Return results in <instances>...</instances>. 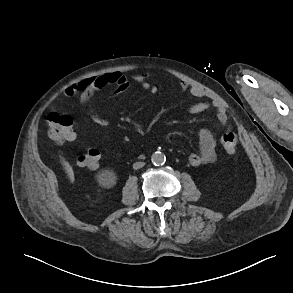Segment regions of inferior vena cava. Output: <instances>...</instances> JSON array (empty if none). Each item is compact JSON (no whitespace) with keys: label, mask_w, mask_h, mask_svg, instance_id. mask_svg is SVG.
<instances>
[{"label":"inferior vena cava","mask_w":293,"mask_h":293,"mask_svg":"<svg viewBox=\"0 0 293 293\" xmlns=\"http://www.w3.org/2000/svg\"><path fill=\"white\" fill-rule=\"evenodd\" d=\"M144 165H145L144 162H136V163L133 164V168H134L135 170H137V169L142 168Z\"/></svg>","instance_id":"inferior-vena-cava-1"}]
</instances>
